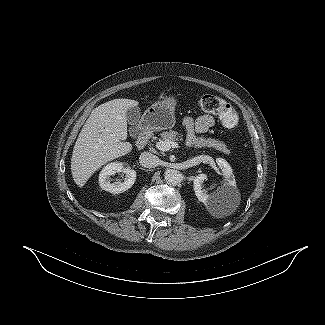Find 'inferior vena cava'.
Returning <instances> with one entry per match:
<instances>
[{
	"mask_svg": "<svg viewBox=\"0 0 325 325\" xmlns=\"http://www.w3.org/2000/svg\"><path fill=\"white\" fill-rule=\"evenodd\" d=\"M140 164L146 168H154L158 166L159 159L150 152H142L139 157Z\"/></svg>",
	"mask_w": 325,
	"mask_h": 325,
	"instance_id": "obj_1",
	"label": "inferior vena cava"
}]
</instances>
